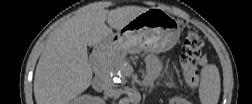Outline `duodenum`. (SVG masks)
<instances>
[{
	"instance_id": "1",
	"label": "duodenum",
	"mask_w": 252,
	"mask_h": 104,
	"mask_svg": "<svg viewBox=\"0 0 252 104\" xmlns=\"http://www.w3.org/2000/svg\"><path fill=\"white\" fill-rule=\"evenodd\" d=\"M106 86H107L106 77L102 74H98L93 80V87L98 91H102L106 88Z\"/></svg>"
}]
</instances>
